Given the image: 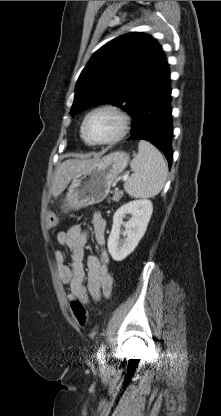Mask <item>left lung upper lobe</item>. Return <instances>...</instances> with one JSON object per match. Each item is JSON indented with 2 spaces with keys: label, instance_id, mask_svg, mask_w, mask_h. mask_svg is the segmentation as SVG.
I'll use <instances>...</instances> for the list:
<instances>
[{
  "label": "left lung upper lobe",
  "instance_id": "left-lung-upper-lobe-1",
  "mask_svg": "<svg viewBox=\"0 0 221 416\" xmlns=\"http://www.w3.org/2000/svg\"><path fill=\"white\" fill-rule=\"evenodd\" d=\"M164 61L161 46L150 35L133 32L113 39L96 51L81 72L71 114L111 103L134 118Z\"/></svg>",
  "mask_w": 221,
  "mask_h": 416
}]
</instances>
